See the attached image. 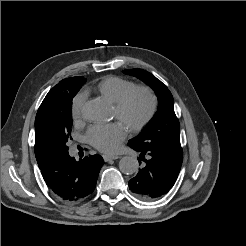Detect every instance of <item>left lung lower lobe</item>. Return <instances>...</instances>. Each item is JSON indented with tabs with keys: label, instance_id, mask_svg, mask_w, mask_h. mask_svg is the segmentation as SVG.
<instances>
[{
	"label": "left lung lower lobe",
	"instance_id": "left-lung-lower-lobe-1",
	"mask_svg": "<svg viewBox=\"0 0 246 246\" xmlns=\"http://www.w3.org/2000/svg\"><path fill=\"white\" fill-rule=\"evenodd\" d=\"M134 150L140 152V159L144 164L137 175L129 181L130 190L138 198L147 201L168 193L178 177L183 157L154 148ZM139 163L141 164L140 160Z\"/></svg>",
	"mask_w": 246,
	"mask_h": 246
}]
</instances>
